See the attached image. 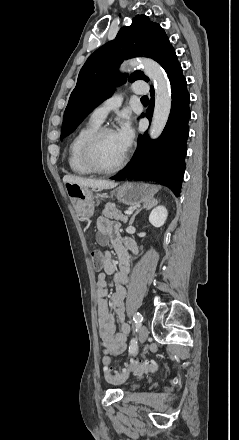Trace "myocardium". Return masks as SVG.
<instances>
[{"instance_id":"myocardium-1","label":"myocardium","mask_w":239,"mask_h":440,"mask_svg":"<svg viewBox=\"0 0 239 440\" xmlns=\"http://www.w3.org/2000/svg\"><path fill=\"white\" fill-rule=\"evenodd\" d=\"M115 132L110 126L98 127L85 141L83 146V159L87 167L98 174H113L121 170L129 158V151L126 150L118 163L111 168H105L96 159V148L100 139L107 133Z\"/></svg>"}]
</instances>
